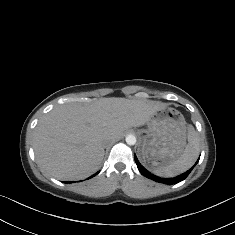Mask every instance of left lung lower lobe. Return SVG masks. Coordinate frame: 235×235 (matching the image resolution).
I'll list each match as a JSON object with an SVG mask.
<instances>
[{"label": "left lung lower lobe", "mask_w": 235, "mask_h": 235, "mask_svg": "<svg viewBox=\"0 0 235 235\" xmlns=\"http://www.w3.org/2000/svg\"><path fill=\"white\" fill-rule=\"evenodd\" d=\"M135 158V162L137 164V167L140 171V173L142 175H144L145 177L149 178V179H152L156 182H161V183H164V184H168V185H172V184H177L181 181H183L189 174L190 172L192 171V169L194 168V166L198 163L199 159L197 160V162L195 163V165L189 169L188 171H186L185 173L177 176V177H174V178H160V177H157L155 176L154 174H151L148 170H146L138 161L137 157L134 156Z\"/></svg>", "instance_id": "1"}]
</instances>
